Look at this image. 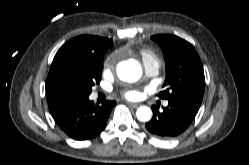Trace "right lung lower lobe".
Listing matches in <instances>:
<instances>
[{"instance_id": "right-lung-lower-lobe-1", "label": "right lung lower lobe", "mask_w": 249, "mask_h": 165, "mask_svg": "<svg viewBox=\"0 0 249 165\" xmlns=\"http://www.w3.org/2000/svg\"><path fill=\"white\" fill-rule=\"evenodd\" d=\"M115 101L95 106L88 96H66L48 101L54 121L71 138L87 140L97 136L106 126Z\"/></svg>"}]
</instances>
